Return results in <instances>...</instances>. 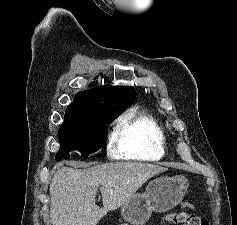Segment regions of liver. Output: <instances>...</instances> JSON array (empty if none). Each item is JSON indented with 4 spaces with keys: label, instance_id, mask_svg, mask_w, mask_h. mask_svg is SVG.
Masks as SVG:
<instances>
[{
    "label": "liver",
    "instance_id": "obj_1",
    "mask_svg": "<svg viewBox=\"0 0 237 225\" xmlns=\"http://www.w3.org/2000/svg\"><path fill=\"white\" fill-rule=\"evenodd\" d=\"M167 168L148 163L116 162L86 169L61 167L50 183L52 225H96L127 202L150 178ZM101 190L103 207L96 205Z\"/></svg>",
    "mask_w": 237,
    "mask_h": 225
}]
</instances>
